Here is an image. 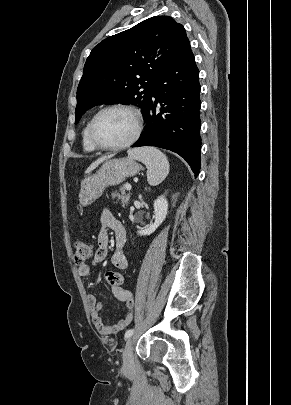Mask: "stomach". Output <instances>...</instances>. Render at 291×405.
<instances>
[{"instance_id":"stomach-1","label":"stomach","mask_w":291,"mask_h":405,"mask_svg":"<svg viewBox=\"0 0 291 405\" xmlns=\"http://www.w3.org/2000/svg\"><path fill=\"white\" fill-rule=\"evenodd\" d=\"M139 170V164L132 158L107 160L94 175L88 176L81 183L80 205H90L102 196L107 187L121 184L126 178L135 176Z\"/></svg>"}]
</instances>
